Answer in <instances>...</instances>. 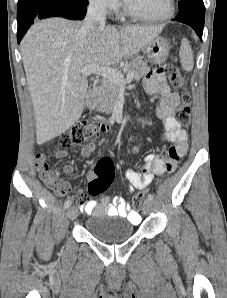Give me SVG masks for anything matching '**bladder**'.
<instances>
[{
    "label": "bladder",
    "mask_w": 227,
    "mask_h": 298,
    "mask_svg": "<svg viewBox=\"0 0 227 298\" xmlns=\"http://www.w3.org/2000/svg\"><path fill=\"white\" fill-rule=\"evenodd\" d=\"M85 228L95 239L108 244L127 240L135 231V225L127 219L107 220L103 216L88 219Z\"/></svg>",
    "instance_id": "1"
}]
</instances>
